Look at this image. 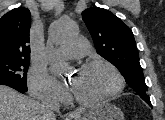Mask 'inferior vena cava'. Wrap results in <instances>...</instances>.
I'll list each match as a JSON object with an SVG mask.
<instances>
[{
    "instance_id": "1",
    "label": "inferior vena cava",
    "mask_w": 165,
    "mask_h": 120,
    "mask_svg": "<svg viewBox=\"0 0 165 120\" xmlns=\"http://www.w3.org/2000/svg\"><path fill=\"white\" fill-rule=\"evenodd\" d=\"M43 120H56L55 111L59 110V103L57 101L45 99L42 101Z\"/></svg>"
}]
</instances>
